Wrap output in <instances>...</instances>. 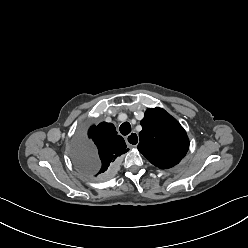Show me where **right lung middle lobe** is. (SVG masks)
<instances>
[{"label":"right lung middle lobe","instance_id":"right-lung-middle-lobe-1","mask_svg":"<svg viewBox=\"0 0 248 248\" xmlns=\"http://www.w3.org/2000/svg\"><path fill=\"white\" fill-rule=\"evenodd\" d=\"M73 160L85 175L96 173L99 167L97 152L92 143L79 138L73 148Z\"/></svg>","mask_w":248,"mask_h":248}]
</instances>
